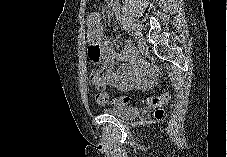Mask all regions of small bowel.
<instances>
[{
    "instance_id": "small-bowel-1",
    "label": "small bowel",
    "mask_w": 227,
    "mask_h": 157,
    "mask_svg": "<svg viewBox=\"0 0 227 157\" xmlns=\"http://www.w3.org/2000/svg\"><path fill=\"white\" fill-rule=\"evenodd\" d=\"M87 26L90 43L88 58L90 62H102L99 73L91 80L97 88L109 86L129 90L136 87L148 88L154 83L155 70L142 63L132 44L127 43L123 51L118 52L110 40L104 39L101 16L98 12L88 15ZM118 62L121 64L118 65Z\"/></svg>"
}]
</instances>
